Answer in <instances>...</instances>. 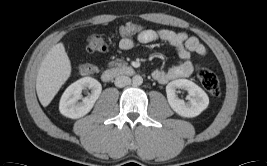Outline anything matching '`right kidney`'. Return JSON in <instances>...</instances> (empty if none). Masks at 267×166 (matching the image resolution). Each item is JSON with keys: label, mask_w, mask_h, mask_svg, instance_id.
Returning <instances> with one entry per match:
<instances>
[{"label": "right kidney", "mask_w": 267, "mask_h": 166, "mask_svg": "<svg viewBox=\"0 0 267 166\" xmlns=\"http://www.w3.org/2000/svg\"><path fill=\"white\" fill-rule=\"evenodd\" d=\"M87 88L91 89V93L82 98V90ZM101 90L100 82L92 77L77 80L64 91L59 103L60 113L72 119L83 117L92 109Z\"/></svg>", "instance_id": "ca27d5eb"}]
</instances>
